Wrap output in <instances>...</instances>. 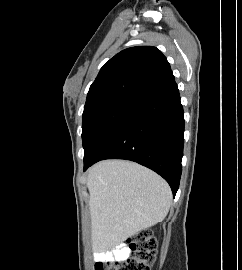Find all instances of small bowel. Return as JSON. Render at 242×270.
<instances>
[{
    "label": "small bowel",
    "mask_w": 242,
    "mask_h": 270,
    "mask_svg": "<svg viewBox=\"0 0 242 270\" xmlns=\"http://www.w3.org/2000/svg\"><path fill=\"white\" fill-rule=\"evenodd\" d=\"M129 254V250L124 245H118L114 250L106 253H98L96 255V263L102 264L104 267H110L117 260L125 259Z\"/></svg>",
    "instance_id": "small-bowel-1"
}]
</instances>
